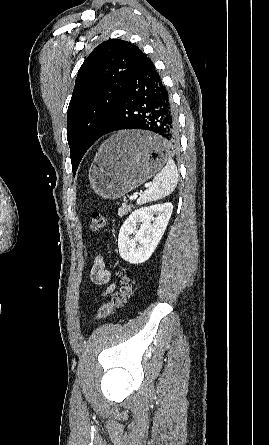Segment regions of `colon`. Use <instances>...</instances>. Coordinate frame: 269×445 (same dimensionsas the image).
I'll return each mask as SVG.
<instances>
[{
    "instance_id": "obj_1",
    "label": "colon",
    "mask_w": 269,
    "mask_h": 445,
    "mask_svg": "<svg viewBox=\"0 0 269 445\" xmlns=\"http://www.w3.org/2000/svg\"><path fill=\"white\" fill-rule=\"evenodd\" d=\"M106 226L107 218L104 215L98 212H93L90 215V227L93 231L99 232L105 229ZM118 275L121 282L119 292L110 301L105 302L98 307L94 316V321L107 318L114 310L122 307L131 296L133 280L123 272H118Z\"/></svg>"
}]
</instances>
